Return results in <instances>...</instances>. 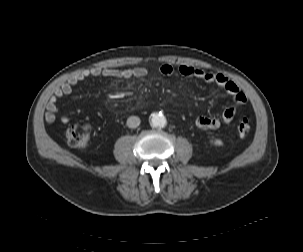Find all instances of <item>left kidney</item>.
I'll list each match as a JSON object with an SVG mask.
<instances>
[{"label":"left kidney","mask_w":303,"mask_h":252,"mask_svg":"<svg viewBox=\"0 0 303 252\" xmlns=\"http://www.w3.org/2000/svg\"><path fill=\"white\" fill-rule=\"evenodd\" d=\"M215 145H221L222 142L220 140H215V141H212Z\"/></svg>","instance_id":"5707ae66"}]
</instances>
